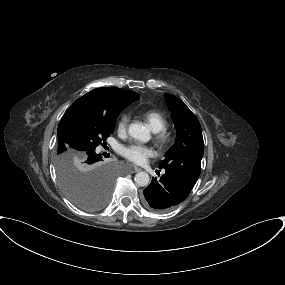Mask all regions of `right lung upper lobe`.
Segmentation results:
<instances>
[{
  "mask_svg": "<svg viewBox=\"0 0 285 285\" xmlns=\"http://www.w3.org/2000/svg\"><path fill=\"white\" fill-rule=\"evenodd\" d=\"M139 96L133 91L120 88H97L78 98L65 114L75 110H95L109 115L114 111V104L126 98Z\"/></svg>",
  "mask_w": 285,
  "mask_h": 285,
  "instance_id": "obj_1",
  "label": "right lung upper lobe"
}]
</instances>
